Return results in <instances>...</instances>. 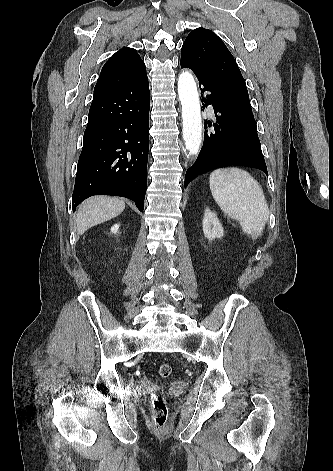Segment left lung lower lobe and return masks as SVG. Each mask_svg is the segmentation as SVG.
I'll return each mask as SVG.
<instances>
[{"label":"left lung lower lobe","instance_id":"1","mask_svg":"<svg viewBox=\"0 0 333 471\" xmlns=\"http://www.w3.org/2000/svg\"><path fill=\"white\" fill-rule=\"evenodd\" d=\"M181 67L194 71L199 81L203 106L211 104L216 117L215 127L211 131L205 130L203 146L195 163L186 172L185 185L197 175L234 165L257 168L268 174L256 122L236 108L222 89L207 76L184 61H181Z\"/></svg>","mask_w":333,"mask_h":471}]
</instances>
